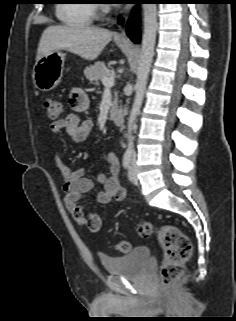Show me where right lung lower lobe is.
Masks as SVG:
<instances>
[{
    "label": "right lung lower lobe",
    "mask_w": 236,
    "mask_h": 321,
    "mask_svg": "<svg viewBox=\"0 0 236 321\" xmlns=\"http://www.w3.org/2000/svg\"><path fill=\"white\" fill-rule=\"evenodd\" d=\"M133 3H144V0H137ZM119 21H122V19L120 18ZM127 34L133 42H140V18L138 7H135L132 11V15L127 25Z\"/></svg>",
    "instance_id": "obj_1"
}]
</instances>
